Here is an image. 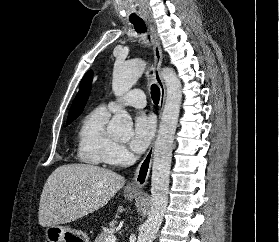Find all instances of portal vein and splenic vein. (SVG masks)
Instances as JSON below:
<instances>
[{"label": "portal vein and splenic vein", "mask_w": 279, "mask_h": 242, "mask_svg": "<svg viewBox=\"0 0 279 242\" xmlns=\"http://www.w3.org/2000/svg\"><path fill=\"white\" fill-rule=\"evenodd\" d=\"M106 242H116V236L114 234L109 235Z\"/></svg>", "instance_id": "1"}]
</instances>
